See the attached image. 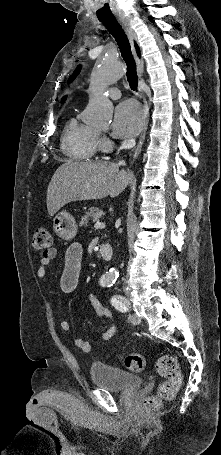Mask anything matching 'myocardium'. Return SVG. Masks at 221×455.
I'll return each instance as SVG.
<instances>
[{"label": "myocardium", "instance_id": "f54148a6", "mask_svg": "<svg viewBox=\"0 0 221 455\" xmlns=\"http://www.w3.org/2000/svg\"><path fill=\"white\" fill-rule=\"evenodd\" d=\"M100 145H101V148L104 150H109L112 147V143L105 139L101 141Z\"/></svg>", "mask_w": 221, "mask_h": 455}]
</instances>
